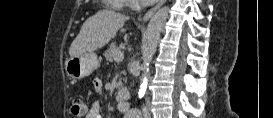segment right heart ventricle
<instances>
[{
  "label": "right heart ventricle",
  "instance_id": "e07e8e85",
  "mask_svg": "<svg viewBox=\"0 0 273 118\" xmlns=\"http://www.w3.org/2000/svg\"><path fill=\"white\" fill-rule=\"evenodd\" d=\"M118 6V4H114V7H117Z\"/></svg>",
  "mask_w": 273,
  "mask_h": 118
}]
</instances>
